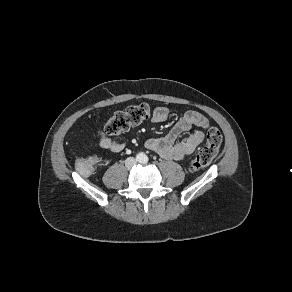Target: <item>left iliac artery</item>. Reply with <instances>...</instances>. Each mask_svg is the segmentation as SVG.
I'll return each mask as SVG.
<instances>
[{"mask_svg":"<svg viewBox=\"0 0 292 292\" xmlns=\"http://www.w3.org/2000/svg\"><path fill=\"white\" fill-rule=\"evenodd\" d=\"M144 162H148V158L147 157H144Z\"/></svg>","mask_w":292,"mask_h":292,"instance_id":"1","label":"left iliac artery"}]
</instances>
